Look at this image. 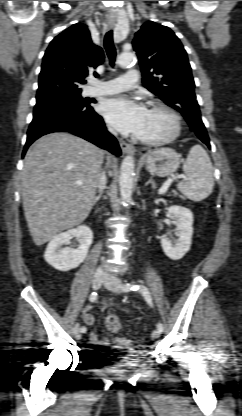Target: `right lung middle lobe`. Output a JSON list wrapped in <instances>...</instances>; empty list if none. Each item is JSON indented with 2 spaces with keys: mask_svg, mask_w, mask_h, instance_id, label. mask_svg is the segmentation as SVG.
Returning <instances> with one entry per match:
<instances>
[{
  "mask_svg": "<svg viewBox=\"0 0 242 416\" xmlns=\"http://www.w3.org/2000/svg\"><path fill=\"white\" fill-rule=\"evenodd\" d=\"M65 100L68 102L73 103H85L86 99H83L81 97V89L79 88H60L49 95L46 96H37L36 100L37 102L44 101V100Z\"/></svg>",
  "mask_w": 242,
  "mask_h": 416,
  "instance_id": "1",
  "label": "right lung middle lobe"
}]
</instances>
